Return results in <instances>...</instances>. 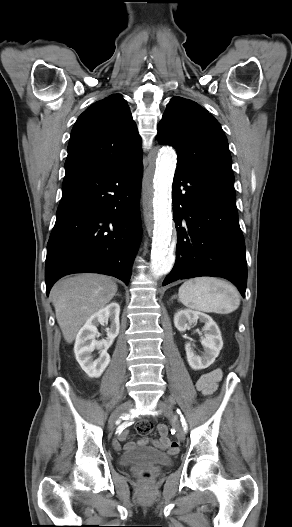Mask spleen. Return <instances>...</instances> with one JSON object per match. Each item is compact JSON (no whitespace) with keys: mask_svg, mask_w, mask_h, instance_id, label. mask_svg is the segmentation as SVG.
Returning a JSON list of instances; mask_svg holds the SVG:
<instances>
[{"mask_svg":"<svg viewBox=\"0 0 292 527\" xmlns=\"http://www.w3.org/2000/svg\"><path fill=\"white\" fill-rule=\"evenodd\" d=\"M178 297L186 307L208 313H231L240 305L237 289L213 277H197L185 281L179 288Z\"/></svg>","mask_w":292,"mask_h":527,"instance_id":"obj_1","label":"spleen"}]
</instances>
